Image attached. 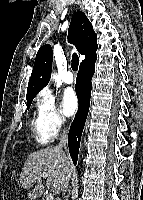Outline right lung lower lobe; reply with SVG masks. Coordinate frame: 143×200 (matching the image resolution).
Returning a JSON list of instances; mask_svg holds the SVG:
<instances>
[{
	"instance_id": "right-lung-lower-lobe-1",
	"label": "right lung lower lobe",
	"mask_w": 143,
	"mask_h": 200,
	"mask_svg": "<svg viewBox=\"0 0 143 200\" xmlns=\"http://www.w3.org/2000/svg\"><path fill=\"white\" fill-rule=\"evenodd\" d=\"M95 62L96 54L81 62L77 74L75 88L79 100V109L68 134L69 152L74 164L77 163L81 135L89 110L91 79L94 74Z\"/></svg>"
}]
</instances>
